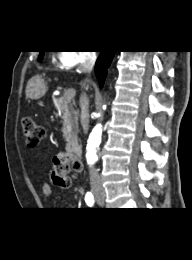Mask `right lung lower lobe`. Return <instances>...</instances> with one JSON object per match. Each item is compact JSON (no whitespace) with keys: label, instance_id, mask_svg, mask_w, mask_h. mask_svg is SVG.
Listing matches in <instances>:
<instances>
[{"label":"right lung lower lobe","instance_id":"right-lung-lower-lobe-1","mask_svg":"<svg viewBox=\"0 0 192 260\" xmlns=\"http://www.w3.org/2000/svg\"><path fill=\"white\" fill-rule=\"evenodd\" d=\"M114 54L115 51H101L96 61L95 72L101 87L104 83L107 74V69L113 59Z\"/></svg>","mask_w":192,"mask_h":260}]
</instances>
